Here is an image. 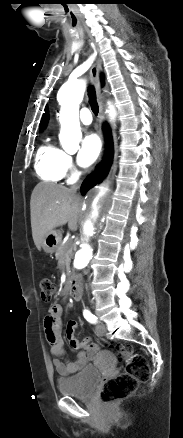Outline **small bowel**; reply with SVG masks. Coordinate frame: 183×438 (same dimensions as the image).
<instances>
[{
	"label": "small bowel",
	"mask_w": 183,
	"mask_h": 438,
	"mask_svg": "<svg viewBox=\"0 0 183 438\" xmlns=\"http://www.w3.org/2000/svg\"><path fill=\"white\" fill-rule=\"evenodd\" d=\"M62 307L59 304H53L48 310L45 317L44 327L47 341L50 345V352L54 356L53 365L56 371L63 376L77 373L87 365L98 351V345L92 343L89 339L79 341L75 337L77 322L68 321L65 334L69 345L78 350L77 357L74 361L62 360L65 356L64 341L62 338Z\"/></svg>",
	"instance_id": "small-bowel-1"
}]
</instances>
